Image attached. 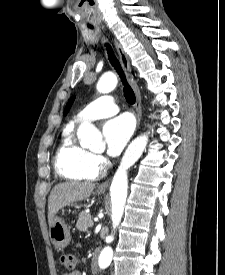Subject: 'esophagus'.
Instances as JSON below:
<instances>
[{
    "label": "esophagus",
    "mask_w": 225,
    "mask_h": 275,
    "mask_svg": "<svg viewBox=\"0 0 225 275\" xmlns=\"http://www.w3.org/2000/svg\"><path fill=\"white\" fill-rule=\"evenodd\" d=\"M114 45H115V48L119 55L120 62H121L122 68L125 72V75L129 81V83L131 84V86L135 92V95H136V117H137V127H139V125L141 123V119H142L141 95H140L137 85L134 82H132L131 67H130L129 58H128L126 52L124 51L122 45L115 39H114ZM108 184H109V182L106 181V182L102 183L101 185H99V188L105 189L108 187Z\"/></svg>",
    "instance_id": "esophagus-1"
}]
</instances>
